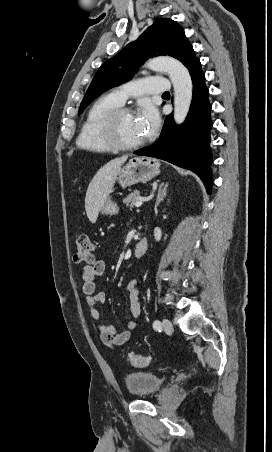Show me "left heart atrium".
<instances>
[{"label": "left heart atrium", "instance_id": "1", "mask_svg": "<svg viewBox=\"0 0 272 452\" xmlns=\"http://www.w3.org/2000/svg\"><path fill=\"white\" fill-rule=\"evenodd\" d=\"M141 131L144 136L152 135L159 126V116L156 109L150 105H146L142 109L140 116Z\"/></svg>", "mask_w": 272, "mask_h": 452}]
</instances>
